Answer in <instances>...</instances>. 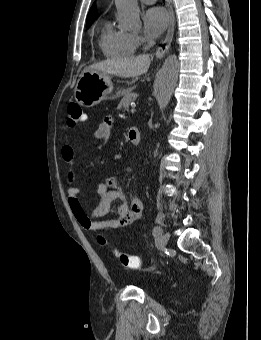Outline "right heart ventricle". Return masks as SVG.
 Returning a JSON list of instances; mask_svg holds the SVG:
<instances>
[{
	"label": "right heart ventricle",
	"mask_w": 261,
	"mask_h": 340,
	"mask_svg": "<svg viewBox=\"0 0 261 340\" xmlns=\"http://www.w3.org/2000/svg\"><path fill=\"white\" fill-rule=\"evenodd\" d=\"M99 46L107 57H128L136 52L138 42L133 34L115 28L108 21L101 29Z\"/></svg>",
	"instance_id": "1"
}]
</instances>
